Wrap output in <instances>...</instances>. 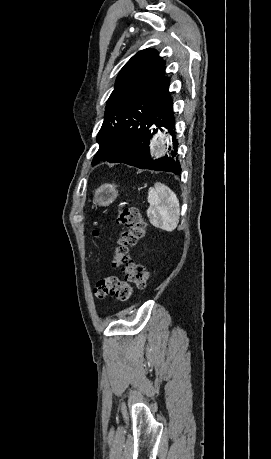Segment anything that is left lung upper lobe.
<instances>
[{"instance_id": "obj_1", "label": "left lung upper lobe", "mask_w": 271, "mask_h": 459, "mask_svg": "<svg viewBox=\"0 0 271 459\" xmlns=\"http://www.w3.org/2000/svg\"><path fill=\"white\" fill-rule=\"evenodd\" d=\"M164 61L158 52L144 49L121 69L105 109L102 127L97 135L99 150L92 164L100 163L110 150V135L128 120L144 115L153 105L156 91L167 77Z\"/></svg>"}]
</instances>
